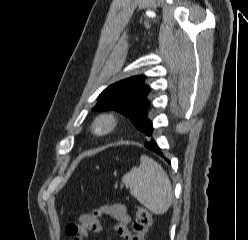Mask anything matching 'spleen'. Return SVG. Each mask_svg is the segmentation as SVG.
<instances>
[{
    "mask_svg": "<svg viewBox=\"0 0 248 240\" xmlns=\"http://www.w3.org/2000/svg\"><path fill=\"white\" fill-rule=\"evenodd\" d=\"M130 194L152 213L162 215L173 201L171 182L163 168L150 157L143 155L139 167L132 168L122 178Z\"/></svg>",
    "mask_w": 248,
    "mask_h": 240,
    "instance_id": "spleen-1",
    "label": "spleen"
}]
</instances>
